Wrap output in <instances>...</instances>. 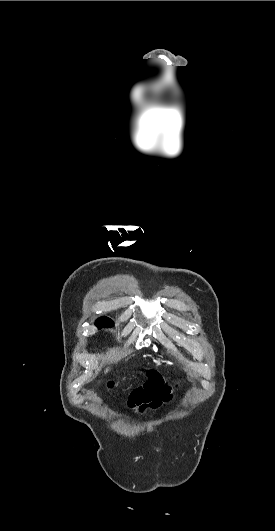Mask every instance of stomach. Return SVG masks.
<instances>
[{"label":"stomach","instance_id":"1","mask_svg":"<svg viewBox=\"0 0 275 531\" xmlns=\"http://www.w3.org/2000/svg\"><path fill=\"white\" fill-rule=\"evenodd\" d=\"M148 358L149 359H154L155 358V353L154 352H149L148 353Z\"/></svg>","mask_w":275,"mask_h":531}]
</instances>
